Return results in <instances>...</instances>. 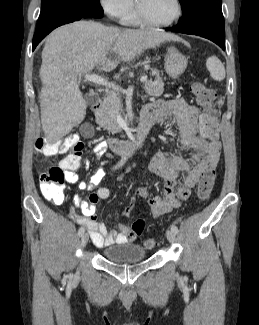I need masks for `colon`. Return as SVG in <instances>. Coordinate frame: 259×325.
<instances>
[{
  "instance_id": "colon-1",
  "label": "colon",
  "mask_w": 259,
  "mask_h": 325,
  "mask_svg": "<svg viewBox=\"0 0 259 325\" xmlns=\"http://www.w3.org/2000/svg\"><path fill=\"white\" fill-rule=\"evenodd\" d=\"M191 92L196 98L198 104L207 112L209 121L207 123L208 129H217V95L215 91L202 82H194L191 85ZM36 149L45 155H55L60 152H69L68 156L73 158L80 157L83 144L79 137L74 134H69L63 139L56 142H47L43 138L36 141ZM74 162L70 161L67 165L73 166ZM65 180V169L59 165L44 172L39 177V187L42 195L54 203H61L63 201V189ZM215 181V171L205 172L198 185V198L201 201L209 199ZM133 209V202H130L124 209L123 214L128 215ZM132 230L141 235L145 229V221L137 219L132 223ZM144 247L151 249L156 245V240L152 237H145L143 239Z\"/></svg>"
}]
</instances>
